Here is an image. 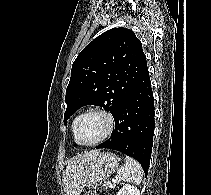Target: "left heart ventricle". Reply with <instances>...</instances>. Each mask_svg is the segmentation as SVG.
Returning a JSON list of instances; mask_svg holds the SVG:
<instances>
[{"mask_svg": "<svg viewBox=\"0 0 211 195\" xmlns=\"http://www.w3.org/2000/svg\"><path fill=\"white\" fill-rule=\"evenodd\" d=\"M106 129L107 121L102 115L90 114L81 121L79 138L82 142L91 143L99 139Z\"/></svg>", "mask_w": 211, "mask_h": 195, "instance_id": "left-heart-ventricle-1", "label": "left heart ventricle"}]
</instances>
